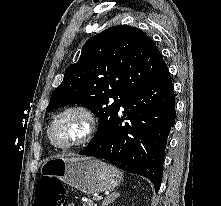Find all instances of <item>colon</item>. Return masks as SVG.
Here are the masks:
<instances>
[{
	"instance_id": "colon-1",
	"label": "colon",
	"mask_w": 221,
	"mask_h": 206,
	"mask_svg": "<svg viewBox=\"0 0 221 206\" xmlns=\"http://www.w3.org/2000/svg\"><path fill=\"white\" fill-rule=\"evenodd\" d=\"M66 190L50 178L38 181L35 193V206H67Z\"/></svg>"
}]
</instances>
